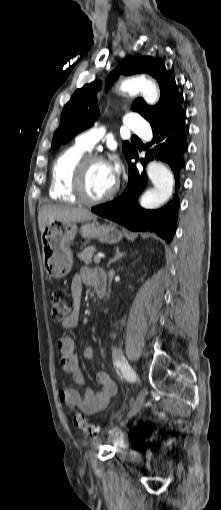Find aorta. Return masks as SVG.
Wrapping results in <instances>:
<instances>
[{
    "instance_id": "aorta-1",
    "label": "aorta",
    "mask_w": 221,
    "mask_h": 510,
    "mask_svg": "<svg viewBox=\"0 0 221 510\" xmlns=\"http://www.w3.org/2000/svg\"><path fill=\"white\" fill-rule=\"evenodd\" d=\"M121 92H141L145 101L154 105L159 99L156 85L145 76H134L122 81ZM147 174L154 188L147 190L141 197L140 205L145 209H155L165 203L171 196L174 178L169 169L162 163L151 161L147 165Z\"/></svg>"
}]
</instances>
